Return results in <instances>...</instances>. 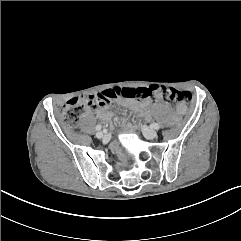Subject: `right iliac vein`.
<instances>
[{"mask_svg":"<svg viewBox=\"0 0 241 241\" xmlns=\"http://www.w3.org/2000/svg\"><path fill=\"white\" fill-rule=\"evenodd\" d=\"M106 136H107V134L104 133V132H97V133H96V137H97L98 139L104 138V137H106Z\"/></svg>","mask_w":241,"mask_h":241,"instance_id":"right-iliac-vein-1","label":"right iliac vein"}]
</instances>
